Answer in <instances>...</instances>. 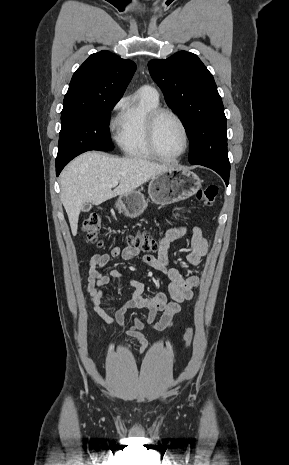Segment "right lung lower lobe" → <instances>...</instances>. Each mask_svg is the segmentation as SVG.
<instances>
[{
    "label": "right lung lower lobe",
    "instance_id": "98d812e1",
    "mask_svg": "<svg viewBox=\"0 0 289 465\" xmlns=\"http://www.w3.org/2000/svg\"><path fill=\"white\" fill-rule=\"evenodd\" d=\"M70 160L66 161H61V162H56V175L58 176L61 172V170L64 168V166L69 162Z\"/></svg>",
    "mask_w": 289,
    "mask_h": 465
}]
</instances>
